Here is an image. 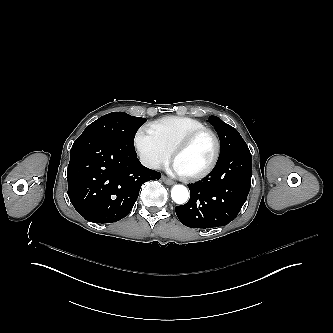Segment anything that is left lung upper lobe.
I'll return each instance as SVG.
<instances>
[{
	"label": "left lung upper lobe",
	"instance_id": "left-lung-upper-lobe-1",
	"mask_svg": "<svg viewBox=\"0 0 333 333\" xmlns=\"http://www.w3.org/2000/svg\"><path fill=\"white\" fill-rule=\"evenodd\" d=\"M208 121L214 126L220 139L221 150L219 159L236 149L247 147V144L234 127L226 124L216 116H210Z\"/></svg>",
	"mask_w": 333,
	"mask_h": 333
}]
</instances>
